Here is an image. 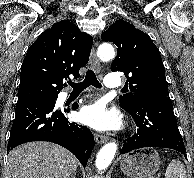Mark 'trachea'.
I'll return each mask as SVG.
<instances>
[{
    "instance_id": "1",
    "label": "trachea",
    "mask_w": 194,
    "mask_h": 178,
    "mask_svg": "<svg viewBox=\"0 0 194 178\" xmlns=\"http://www.w3.org/2000/svg\"><path fill=\"white\" fill-rule=\"evenodd\" d=\"M70 86L73 87V91L76 92H82L86 88H88L90 85L94 86L95 88H101V83L97 80V77L93 70L88 69L85 79L82 82L79 83H68Z\"/></svg>"
}]
</instances>
